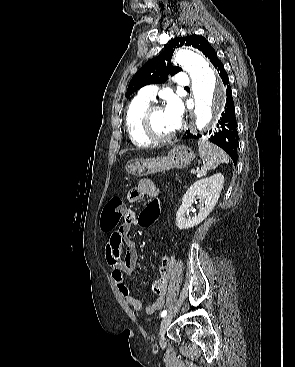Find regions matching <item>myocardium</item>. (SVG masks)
<instances>
[{"instance_id":"obj_1","label":"myocardium","mask_w":295,"mask_h":367,"mask_svg":"<svg viewBox=\"0 0 295 367\" xmlns=\"http://www.w3.org/2000/svg\"><path fill=\"white\" fill-rule=\"evenodd\" d=\"M160 109H162L161 105L150 104L144 111L141 119L142 133L149 141L155 144L170 142L173 139H175V137L178 134V130H175L172 134L166 136L159 135L158 133H156L152 121H153V115L155 114L156 111Z\"/></svg>"}]
</instances>
